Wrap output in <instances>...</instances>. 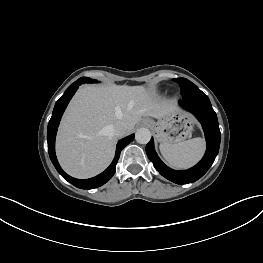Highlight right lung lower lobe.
<instances>
[{"mask_svg":"<svg viewBox=\"0 0 263 263\" xmlns=\"http://www.w3.org/2000/svg\"><path fill=\"white\" fill-rule=\"evenodd\" d=\"M81 84L82 83L80 81L74 82L71 86H69L67 88L65 93L62 95V97L55 104V107H54V110L52 113V117L48 123V129H47L48 152H49V156H50V159H51L53 165L55 166L58 173L64 179H66L68 182H70L71 184H73L74 186H76L78 188L93 189V188L102 186L103 184H105L106 182H108L112 178V176L114 175V173L116 171V164H117V161L119 160L121 150L126 145H128L130 142L133 141L134 134L127 136L126 138H123L122 140H120L118 142L117 148H116V154H115V158H114L113 162L101 174H99L93 178L85 179V180L76 179V178H73V177L67 175L62 170V168L60 167V165L57 161L56 155H55V137H56L57 128H58L60 119L62 117V114H63L66 106L68 105L70 99L75 94L79 85H81Z\"/></svg>","mask_w":263,"mask_h":263,"instance_id":"98d812e1","label":"right lung lower lobe"}]
</instances>
